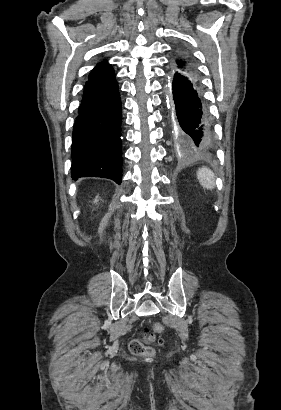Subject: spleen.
<instances>
[{
  "mask_svg": "<svg viewBox=\"0 0 281 410\" xmlns=\"http://www.w3.org/2000/svg\"><path fill=\"white\" fill-rule=\"evenodd\" d=\"M197 178L200 184L208 189L212 190L215 187V175L214 173L207 167L199 168L197 171Z\"/></svg>",
  "mask_w": 281,
  "mask_h": 410,
  "instance_id": "3e777b00",
  "label": "spleen"
}]
</instances>
